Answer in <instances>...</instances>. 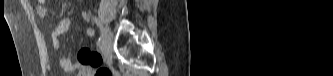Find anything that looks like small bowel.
Instances as JSON below:
<instances>
[{
  "label": "small bowel",
  "instance_id": "obj_1",
  "mask_svg": "<svg viewBox=\"0 0 333 76\" xmlns=\"http://www.w3.org/2000/svg\"><path fill=\"white\" fill-rule=\"evenodd\" d=\"M36 13L39 17L45 18L49 14L48 3L41 1L36 6ZM85 20H89L86 12L82 13ZM70 26V20L67 18L59 20L53 27L51 42L54 50H58L61 45V37L67 32ZM89 37H93L95 34L94 29L88 28L86 31ZM78 61L74 62L70 57H61L59 59L60 66L69 72L78 71L79 75H84V72L89 68H98L102 62V57L91 50L88 44L80 45V52L78 53ZM102 69V68H98ZM97 70V71H98Z\"/></svg>",
  "mask_w": 333,
  "mask_h": 76
}]
</instances>
